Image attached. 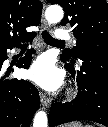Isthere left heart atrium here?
Returning a JSON list of instances; mask_svg holds the SVG:
<instances>
[{
    "instance_id": "1",
    "label": "left heart atrium",
    "mask_w": 108,
    "mask_h": 127,
    "mask_svg": "<svg viewBox=\"0 0 108 127\" xmlns=\"http://www.w3.org/2000/svg\"><path fill=\"white\" fill-rule=\"evenodd\" d=\"M29 78L47 90L58 88L63 81V73L59 70L52 57L42 55L37 58L28 72Z\"/></svg>"
}]
</instances>
